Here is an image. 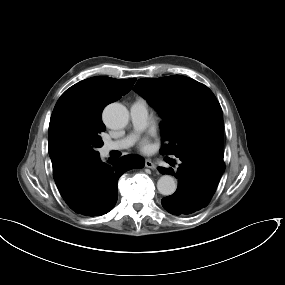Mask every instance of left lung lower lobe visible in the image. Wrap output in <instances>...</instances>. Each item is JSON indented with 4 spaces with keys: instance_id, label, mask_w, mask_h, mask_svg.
Returning <instances> with one entry per match:
<instances>
[{
    "instance_id": "left-lung-lower-lobe-1",
    "label": "left lung lower lobe",
    "mask_w": 285,
    "mask_h": 285,
    "mask_svg": "<svg viewBox=\"0 0 285 285\" xmlns=\"http://www.w3.org/2000/svg\"><path fill=\"white\" fill-rule=\"evenodd\" d=\"M181 164L172 168L158 167L162 174H174L179 185L174 194L162 199L163 207L173 215H190L206 207L215 193L225 170L223 159L206 154H186Z\"/></svg>"
}]
</instances>
